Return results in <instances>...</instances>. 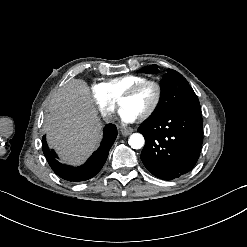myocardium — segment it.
I'll return each instance as SVG.
<instances>
[{"instance_id": "f54148a6", "label": "myocardium", "mask_w": 247, "mask_h": 247, "mask_svg": "<svg viewBox=\"0 0 247 247\" xmlns=\"http://www.w3.org/2000/svg\"><path fill=\"white\" fill-rule=\"evenodd\" d=\"M146 86H150L153 88L154 97H153L152 104H151L149 111L145 113L144 115H142L141 117L142 120L150 119L155 114L156 110L158 109L160 102H161V98H162V88L160 84L153 80H144L138 85H136L134 88H132L129 92L124 94L126 95V98L130 100L134 98L140 92V90Z\"/></svg>"}]
</instances>
